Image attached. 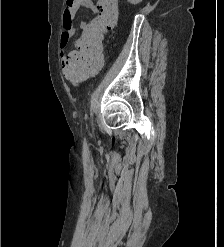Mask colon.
Wrapping results in <instances>:
<instances>
[{
	"instance_id": "colon-1",
	"label": "colon",
	"mask_w": 224,
	"mask_h": 247,
	"mask_svg": "<svg viewBox=\"0 0 224 247\" xmlns=\"http://www.w3.org/2000/svg\"><path fill=\"white\" fill-rule=\"evenodd\" d=\"M73 4L74 0H66L65 9L70 10ZM97 10L98 16L88 23L78 42L79 52L64 62V75L71 82H79L99 68L97 55L104 34L117 23L118 0H98Z\"/></svg>"
}]
</instances>
